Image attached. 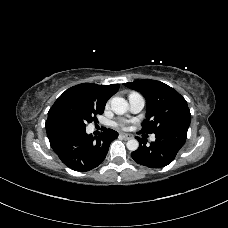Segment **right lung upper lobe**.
I'll return each instance as SVG.
<instances>
[{
	"instance_id": "1",
	"label": "right lung upper lobe",
	"mask_w": 228,
	"mask_h": 228,
	"mask_svg": "<svg viewBox=\"0 0 228 228\" xmlns=\"http://www.w3.org/2000/svg\"><path fill=\"white\" fill-rule=\"evenodd\" d=\"M119 84L97 85L82 83L66 90L63 94H75L97 105L105 106L108 99L119 89Z\"/></svg>"
}]
</instances>
